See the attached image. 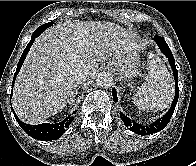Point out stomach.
Segmentation results:
<instances>
[{"mask_svg":"<svg viewBox=\"0 0 196 166\" xmlns=\"http://www.w3.org/2000/svg\"><path fill=\"white\" fill-rule=\"evenodd\" d=\"M112 60V65L124 78L132 79L141 72L140 58L136 51H124L117 54Z\"/></svg>","mask_w":196,"mask_h":166,"instance_id":"stomach-1","label":"stomach"}]
</instances>
